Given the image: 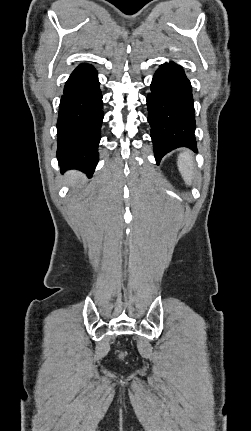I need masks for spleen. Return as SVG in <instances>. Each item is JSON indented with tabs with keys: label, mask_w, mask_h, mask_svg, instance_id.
<instances>
[{
	"label": "spleen",
	"mask_w": 251,
	"mask_h": 431,
	"mask_svg": "<svg viewBox=\"0 0 251 431\" xmlns=\"http://www.w3.org/2000/svg\"><path fill=\"white\" fill-rule=\"evenodd\" d=\"M177 165L185 183L190 185L194 178V162L190 152L185 151L178 156Z\"/></svg>",
	"instance_id": "3e777b00"
}]
</instances>
